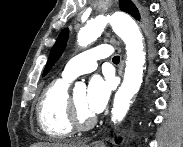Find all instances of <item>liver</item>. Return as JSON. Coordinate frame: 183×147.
Segmentation results:
<instances>
[{"label": "liver", "instance_id": "1", "mask_svg": "<svg viewBox=\"0 0 183 147\" xmlns=\"http://www.w3.org/2000/svg\"><path fill=\"white\" fill-rule=\"evenodd\" d=\"M31 147H86V145L82 142L68 141V142H38Z\"/></svg>", "mask_w": 183, "mask_h": 147}]
</instances>
